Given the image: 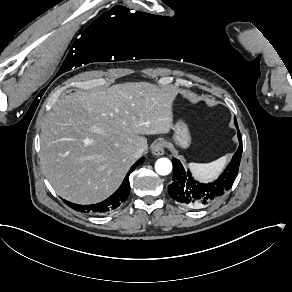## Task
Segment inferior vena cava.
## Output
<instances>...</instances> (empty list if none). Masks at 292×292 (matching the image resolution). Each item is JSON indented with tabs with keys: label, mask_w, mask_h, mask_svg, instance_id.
<instances>
[{
	"label": "inferior vena cava",
	"mask_w": 292,
	"mask_h": 292,
	"mask_svg": "<svg viewBox=\"0 0 292 292\" xmlns=\"http://www.w3.org/2000/svg\"><path fill=\"white\" fill-rule=\"evenodd\" d=\"M143 152H144V148L139 147V148H137V149L135 150L134 155H135L136 158H139V157L143 154Z\"/></svg>",
	"instance_id": "inferior-vena-cava-1"
}]
</instances>
